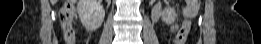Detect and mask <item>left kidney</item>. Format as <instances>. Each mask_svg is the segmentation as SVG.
<instances>
[{"mask_svg":"<svg viewBox=\"0 0 261 44\" xmlns=\"http://www.w3.org/2000/svg\"><path fill=\"white\" fill-rule=\"evenodd\" d=\"M177 14L174 8H165L162 12V21L166 24H172L176 20Z\"/></svg>","mask_w":261,"mask_h":44,"instance_id":"obj_1","label":"left kidney"}]
</instances>
